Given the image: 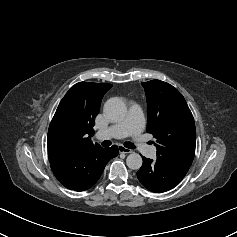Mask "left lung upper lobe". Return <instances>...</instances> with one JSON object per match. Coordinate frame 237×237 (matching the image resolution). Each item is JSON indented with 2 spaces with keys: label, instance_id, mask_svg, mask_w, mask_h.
Returning a JSON list of instances; mask_svg holds the SVG:
<instances>
[{
  "label": "left lung upper lobe",
  "instance_id": "1",
  "mask_svg": "<svg viewBox=\"0 0 237 237\" xmlns=\"http://www.w3.org/2000/svg\"><path fill=\"white\" fill-rule=\"evenodd\" d=\"M147 98V132L156 139L157 157L190 167L195 154L196 129L192 113L169 83L143 82Z\"/></svg>",
  "mask_w": 237,
  "mask_h": 237
}]
</instances>
